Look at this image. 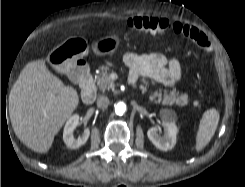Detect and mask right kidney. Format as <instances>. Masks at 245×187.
Segmentation results:
<instances>
[{
    "instance_id": "1",
    "label": "right kidney",
    "mask_w": 245,
    "mask_h": 187,
    "mask_svg": "<svg viewBox=\"0 0 245 187\" xmlns=\"http://www.w3.org/2000/svg\"><path fill=\"white\" fill-rule=\"evenodd\" d=\"M79 121V115L75 114L68 119L64 127L63 140L70 149H76L85 144L90 135V129L85 128L81 136L77 139L74 137L73 132L79 124Z\"/></svg>"
}]
</instances>
